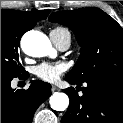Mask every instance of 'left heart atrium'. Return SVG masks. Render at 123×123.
<instances>
[{
  "label": "left heart atrium",
  "instance_id": "39dd6f15",
  "mask_svg": "<svg viewBox=\"0 0 123 123\" xmlns=\"http://www.w3.org/2000/svg\"><path fill=\"white\" fill-rule=\"evenodd\" d=\"M67 70L64 63H41L35 68V74L45 82L54 83Z\"/></svg>",
  "mask_w": 123,
  "mask_h": 123
}]
</instances>
